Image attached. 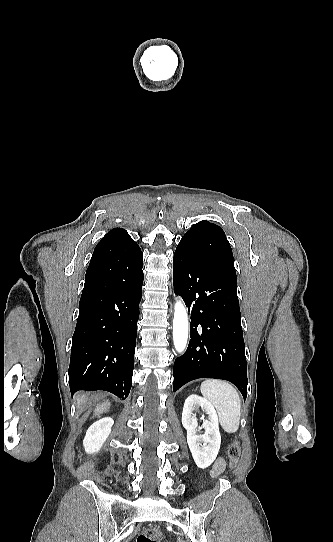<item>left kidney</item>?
Listing matches in <instances>:
<instances>
[{"label": "left kidney", "mask_w": 333, "mask_h": 542, "mask_svg": "<svg viewBox=\"0 0 333 542\" xmlns=\"http://www.w3.org/2000/svg\"><path fill=\"white\" fill-rule=\"evenodd\" d=\"M195 408H202L208 414V420L203 424V436H197V418L193 416ZM182 426L187 430V444L196 466L205 470L211 466L220 450L221 436L216 410L205 398L191 394L184 402Z\"/></svg>", "instance_id": "1"}]
</instances>
